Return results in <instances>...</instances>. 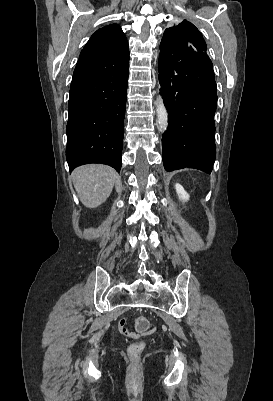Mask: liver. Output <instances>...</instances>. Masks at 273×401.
<instances>
[{"instance_id": "6515ba94", "label": "liver", "mask_w": 273, "mask_h": 401, "mask_svg": "<svg viewBox=\"0 0 273 401\" xmlns=\"http://www.w3.org/2000/svg\"><path fill=\"white\" fill-rule=\"evenodd\" d=\"M72 178L81 203L89 209L105 203L116 180H120L118 172L104 164L79 166L73 170Z\"/></svg>"}]
</instances>
